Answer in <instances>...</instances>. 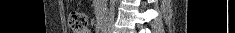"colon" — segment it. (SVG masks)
<instances>
[{"mask_svg": "<svg viewBox=\"0 0 235 33\" xmlns=\"http://www.w3.org/2000/svg\"><path fill=\"white\" fill-rule=\"evenodd\" d=\"M69 26L73 33H84L88 30V18L84 13L72 12L69 16Z\"/></svg>", "mask_w": 235, "mask_h": 33, "instance_id": "colon-1", "label": "colon"}]
</instances>
